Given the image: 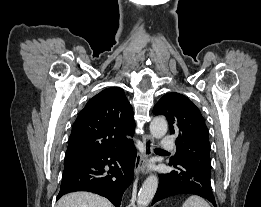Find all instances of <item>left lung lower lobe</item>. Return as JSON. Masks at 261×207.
<instances>
[{"label": "left lung lower lobe", "mask_w": 261, "mask_h": 207, "mask_svg": "<svg viewBox=\"0 0 261 207\" xmlns=\"http://www.w3.org/2000/svg\"><path fill=\"white\" fill-rule=\"evenodd\" d=\"M169 165L175 170L159 175L160 182L152 205L170 196L194 194L209 200L216 207L210 181L211 174L183 163H169Z\"/></svg>", "instance_id": "0a47b994"}]
</instances>
